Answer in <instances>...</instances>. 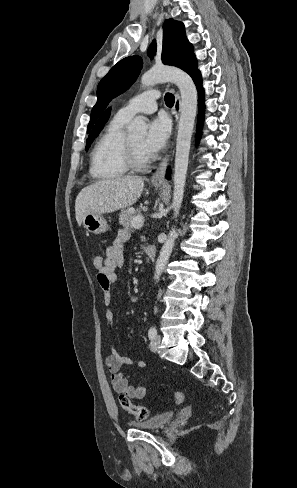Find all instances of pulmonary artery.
Listing matches in <instances>:
<instances>
[{
    "instance_id": "obj_1",
    "label": "pulmonary artery",
    "mask_w": 297,
    "mask_h": 488,
    "mask_svg": "<svg viewBox=\"0 0 297 488\" xmlns=\"http://www.w3.org/2000/svg\"><path fill=\"white\" fill-rule=\"evenodd\" d=\"M159 93L152 89L132 97L118 114L120 117L130 119L137 113L150 114L157 110V99Z\"/></svg>"
}]
</instances>
